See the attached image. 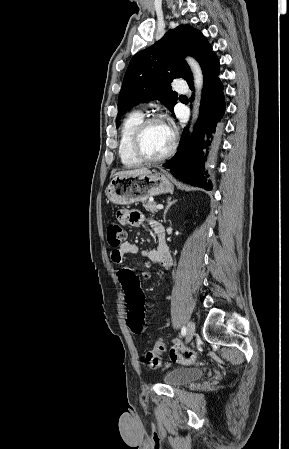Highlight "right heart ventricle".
<instances>
[{
    "label": "right heart ventricle",
    "mask_w": 289,
    "mask_h": 449,
    "mask_svg": "<svg viewBox=\"0 0 289 449\" xmlns=\"http://www.w3.org/2000/svg\"><path fill=\"white\" fill-rule=\"evenodd\" d=\"M143 119V113L139 110H135L125 118L122 124L118 152L121 162L126 167H136L142 163V161L134 155L132 149V137L135 129Z\"/></svg>",
    "instance_id": "obj_1"
}]
</instances>
